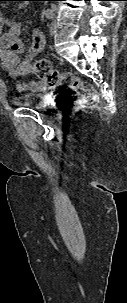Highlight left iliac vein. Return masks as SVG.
<instances>
[{"label":"left iliac vein","mask_w":127,"mask_h":303,"mask_svg":"<svg viewBox=\"0 0 127 303\" xmlns=\"http://www.w3.org/2000/svg\"><path fill=\"white\" fill-rule=\"evenodd\" d=\"M49 32H50L51 36L56 35V33H57V24H56V21H53L51 23L50 28H49Z\"/></svg>","instance_id":"1"}]
</instances>
